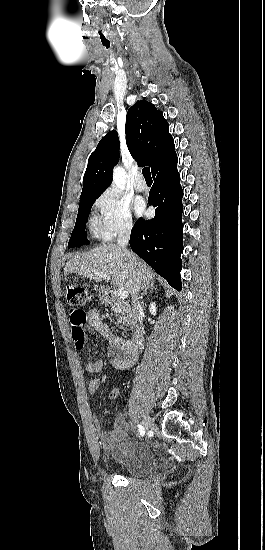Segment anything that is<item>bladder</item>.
I'll return each instance as SVG.
<instances>
[{
    "label": "bladder",
    "mask_w": 265,
    "mask_h": 550,
    "mask_svg": "<svg viewBox=\"0 0 265 550\" xmlns=\"http://www.w3.org/2000/svg\"><path fill=\"white\" fill-rule=\"evenodd\" d=\"M105 455L127 475H146L154 470L156 464L150 449L131 444H123L117 451L106 452Z\"/></svg>",
    "instance_id": "31cf9c89"
}]
</instances>
